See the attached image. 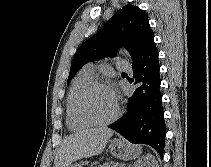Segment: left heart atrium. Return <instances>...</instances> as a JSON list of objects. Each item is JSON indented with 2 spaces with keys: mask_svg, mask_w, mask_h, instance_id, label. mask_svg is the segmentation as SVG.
<instances>
[{
  "mask_svg": "<svg viewBox=\"0 0 211 167\" xmlns=\"http://www.w3.org/2000/svg\"><path fill=\"white\" fill-rule=\"evenodd\" d=\"M110 91H111L112 95H113V96H114V98H115L114 92H113L112 90H110Z\"/></svg>",
  "mask_w": 211,
  "mask_h": 167,
  "instance_id": "left-heart-atrium-1",
  "label": "left heart atrium"
}]
</instances>
